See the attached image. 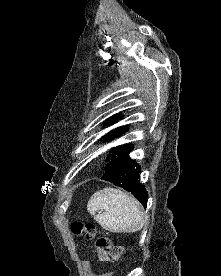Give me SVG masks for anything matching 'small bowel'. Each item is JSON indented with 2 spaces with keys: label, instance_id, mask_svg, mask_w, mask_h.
I'll list each match as a JSON object with an SVG mask.
<instances>
[{
  "label": "small bowel",
  "instance_id": "small-bowel-1",
  "mask_svg": "<svg viewBox=\"0 0 221 276\" xmlns=\"http://www.w3.org/2000/svg\"><path fill=\"white\" fill-rule=\"evenodd\" d=\"M97 256L99 261L101 262H108L109 261V256L104 250H97Z\"/></svg>",
  "mask_w": 221,
  "mask_h": 276
}]
</instances>
